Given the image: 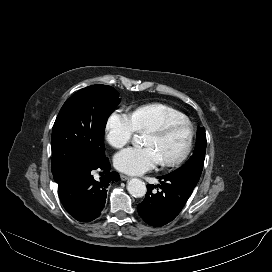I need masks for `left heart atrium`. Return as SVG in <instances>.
<instances>
[{"label":"left heart atrium","mask_w":272,"mask_h":272,"mask_svg":"<svg viewBox=\"0 0 272 272\" xmlns=\"http://www.w3.org/2000/svg\"><path fill=\"white\" fill-rule=\"evenodd\" d=\"M162 162L160 154L153 147H130L114 158L116 168L128 174H142Z\"/></svg>","instance_id":"39dd6f15"}]
</instances>
